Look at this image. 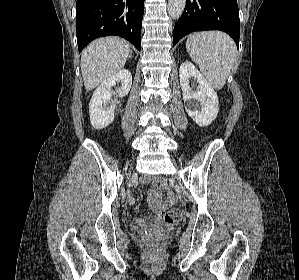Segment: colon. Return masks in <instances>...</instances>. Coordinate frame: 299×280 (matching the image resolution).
<instances>
[{"instance_id": "1", "label": "colon", "mask_w": 299, "mask_h": 280, "mask_svg": "<svg viewBox=\"0 0 299 280\" xmlns=\"http://www.w3.org/2000/svg\"><path fill=\"white\" fill-rule=\"evenodd\" d=\"M181 216V210L177 207H173L162 216V223L165 225L176 224L181 219Z\"/></svg>"}]
</instances>
